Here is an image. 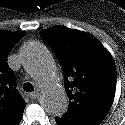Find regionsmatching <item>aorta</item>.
Segmentation results:
<instances>
[{"label":"aorta","instance_id":"762f6f07","mask_svg":"<svg viewBox=\"0 0 125 125\" xmlns=\"http://www.w3.org/2000/svg\"><path fill=\"white\" fill-rule=\"evenodd\" d=\"M20 60L41 89L39 102L43 110L62 116L67 111L68 98L49 51L42 44L32 42L21 50Z\"/></svg>","mask_w":125,"mask_h":125}]
</instances>
